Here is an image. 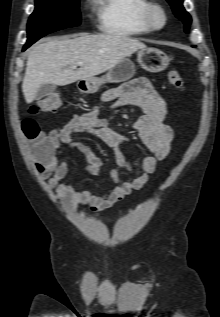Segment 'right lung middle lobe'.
I'll list each match as a JSON object with an SVG mask.
<instances>
[{"label":"right lung middle lobe","mask_w":220,"mask_h":317,"mask_svg":"<svg viewBox=\"0 0 220 317\" xmlns=\"http://www.w3.org/2000/svg\"><path fill=\"white\" fill-rule=\"evenodd\" d=\"M27 42L34 43L46 34L80 25L79 0H35Z\"/></svg>","instance_id":"dd1d6c3e"}]
</instances>
